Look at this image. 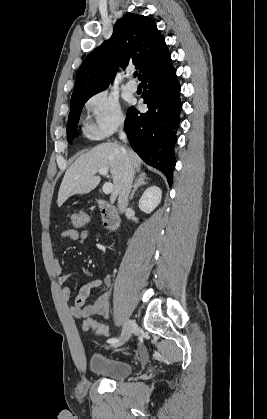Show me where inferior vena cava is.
<instances>
[{"mask_svg": "<svg viewBox=\"0 0 267 419\" xmlns=\"http://www.w3.org/2000/svg\"><path fill=\"white\" fill-rule=\"evenodd\" d=\"M119 138L126 142L127 137L124 132H120ZM124 165L125 171L124 176L121 181L120 189H119V197H118V209L120 213H123L127 206H128V198L129 193L132 187L133 178H134V167L131 157L128 153H125L124 156Z\"/></svg>", "mask_w": 267, "mask_h": 419, "instance_id": "602c4592", "label": "inferior vena cava"}]
</instances>
